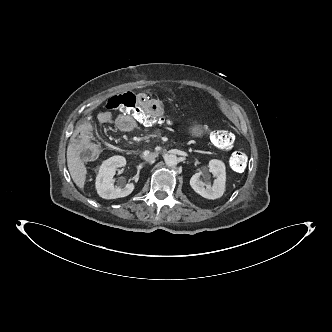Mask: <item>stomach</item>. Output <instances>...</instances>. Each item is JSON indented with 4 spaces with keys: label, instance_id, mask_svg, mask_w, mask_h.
<instances>
[{
    "label": "stomach",
    "instance_id": "1",
    "mask_svg": "<svg viewBox=\"0 0 332 332\" xmlns=\"http://www.w3.org/2000/svg\"><path fill=\"white\" fill-rule=\"evenodd\" d=\"M191 134L197 136V135L200 134V131L197 127H192L191 128Z\"/></svg>",
    "mask_w": 332,
    "mask_h": 332
}]
</instances>
